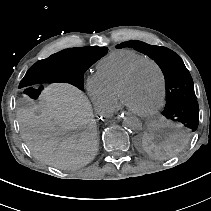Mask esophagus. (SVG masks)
<instances>
[{"mask_svg":"<svg viewBox=\"0 0 211 211\" xmlns=\"http://www.w3.org/2000/svg\"><path fill=\"white\" fill-rule=\"evenodd\" d=\"M130 116H131L130 113L125 112L123 110H120L115 114V117L117 118V120H120V119H123V118L128 119V118H130Z\"/></svg>","mask_w":211,"mask_h":211,"instance_id":"esophagus-1","label":"esophagus"}]
</instances>
